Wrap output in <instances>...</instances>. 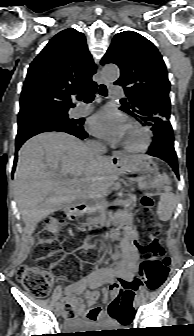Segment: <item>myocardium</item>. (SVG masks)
<instances>
[{
  "label": "myocardium",
  "mask_w": 194,
  "mask_h": 336,
  "mask_svg": "<svg viewBox=\"0 0 194 336\" xmlns=\"http://www.w3.org/2000/svg\"><path fill=\"white\" fill-rule=\"evenodd\" d=\"M128 126L138 131L142 135L143 140L139 145H129L127 143H122V148L128 153H142L147 151L153 142L152 132L134 120H130L128 122Z\"/></svg>",
  "instance_id": "obj_1"
}]
</instances>
